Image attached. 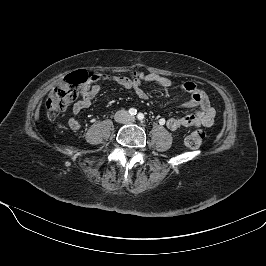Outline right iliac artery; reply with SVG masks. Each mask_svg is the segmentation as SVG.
Returning <instances> with one entry per match:
<instances>
[{
	"label": "right iliac artery",
	"instance_id": "82829eb1",
	"mask_svg": "<svg viewBox=\"0 0 266 266\" xmlns=\"http://www.w3.org/2000/svg\"><path fill=\"white\" fill-rule=\"evenodd\" d=\"M129 114H130L131 116H134V115L137 114V110H136L135 108H131V109H129Z\"/></svg>",
	"mask_w": 266,
	"mask_h": 266
}]
</instances>
